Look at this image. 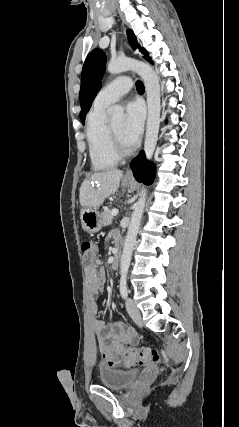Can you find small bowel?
I'll use <instances>...</instances> for the list:
<instances>
[{"instance_id": "c3829d8e", "label": "small bowel", "mask_w": 239, "mask_h": 427, "mask_svg": "<svg viewBox=\"0 0 239 427\" xmlns=\"http://www.w3.org/2000/svg\"><path fill=\"white\" fill-rule=\"evenodd\" d=\"M85 274L89 293L92 296H97L105 280L104 273L99 269V264L87 265ZM89 309L93 316V326L102 359L107 366L114 367L119 363L114 348L123 345H135L138 342L137 333L123 322L107 323L98 319L96 317L98 305L95 300L90 303Z\"/></svg>"}]
</instances>
